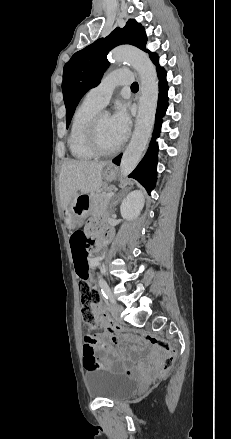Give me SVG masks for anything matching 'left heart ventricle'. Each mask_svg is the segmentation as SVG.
I'll return each instance as SVG.
<instances>
[{
  "instance_id": "obj_1",
  "label": "left heart ventricle",
  "mask_w": 231,
  "mask_h": 439,
  "mask_svg": "<svg viewBox=\"0 0 231 439\" xmlns=\"http://www.w3.org/2000/svg\"><path fill=\"white\" fill-rule=\"evenodd\" d=\"M98 136L101 146L105 149H112L119 145L111 126V117L107 113L100 117Z\"/></svg>"
}]
</instances>
